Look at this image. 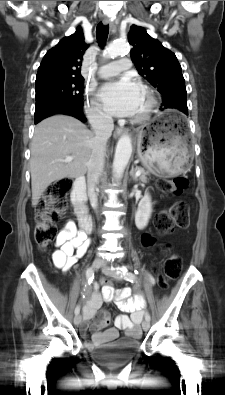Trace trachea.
<instances>
[{
    "instance_id": "obj_1",
    "label": "trachea",
    "mask_w": 225,
    "mask_h": 395,
    "mask_svg": "<svg viewBox=\"0 0 225 395\" xmlns=\"http://www.w3.org/2000/svg\"><path fill=\"white\" fill-rule=\"evenodd\" d=\"M109 33V26L108 25H103L102 23H99L96 28V35H97V40L98 43L101 47H103L106 43L107 37Z\"/></svg>"
}]
</instances>
